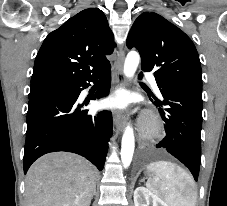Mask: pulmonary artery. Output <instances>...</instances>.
I'll use <instances>...</instances> for the list:
<instances>
[{"label": "pulmonary artery", "instance_id": "1", "mask_svg": "<svg viewBox=\"0 0 227 206\" xmlns=\"http://www.w3.org/2000/svg\"><path fill=\"white\" fill-rule=\"evenodd\" d=\"M145 75H146L147 78L150 79L153 87L158 91V87H157V84H156L154 77L150 73H145Z\"/></svg>", "mask_w": 227, "mask_h": 206}]
</instances>
